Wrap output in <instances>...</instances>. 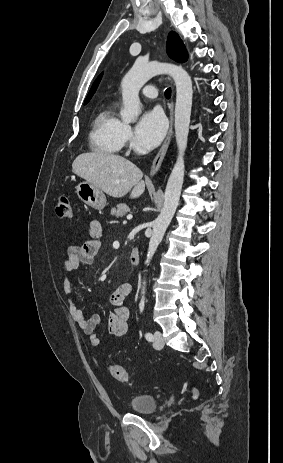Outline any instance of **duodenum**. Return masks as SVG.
<instances>
[{"label": "duodenum", "mask_w": 283, "mask_h": 463, "mask_svg": "<svg viewBox=\"0 0 283 463\" xmlns=\"http://www.w3.org/2000/svg\"><path fill=\"white\" fill-rule=\"evenodd\" d=\"M140 261V252L138 248H133V250L130 253V263L132 266H137Z\"/></svg>", "instance_id": "duodenum-1"}]
</instances>
